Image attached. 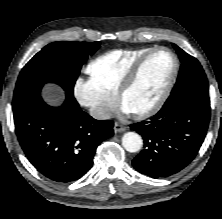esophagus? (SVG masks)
Here are the masks:
<instances>
[{
    "label": "esophagus",
    "instance_id": "1",
    "mask_svg": "<svg viewBox=\"0 0 222 219\" xmlns=\"http://www.w3.org/2000/svg\"><path fill=\"white\" fill-rule=\"evenodd\" d=\"M113 129L115 133H119L124 132L126 130V127L118 122H115Z\"/></svg>",
    "mask_w": 222,
    "mask_h": 219
}]
</instances>
